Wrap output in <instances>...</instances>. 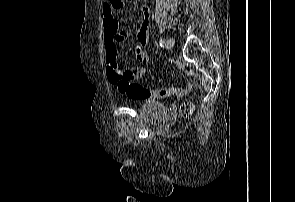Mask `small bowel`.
<instances>
[{"instance_id": "obj_1", "label": "small bowel", "mask_w": 295, "mask_h": 202, "mask_svg": "<svg viewBox=\"0 0 295 202\" xmlns=\"http://www.w3.org/2000/svg\"><path fill=\"white\" fill-rule=\"evenodd\" d=\"M123 6H114L111 0H105L102 9V25L104 28L103 41L106 48V62L108 78L112 83L117 84L118 72L122 69H129L134 78L138 79L145 73V64L148 62V55L143 48L148 43V28L150 12L147 6L141 7V22L137 32V46L133 49L134 59L140 63L138 66L123 67L120 61L119 44L125 40V33L119 29V20L115 15L116 11H122Z\"/></svg>"}]
</instances>
